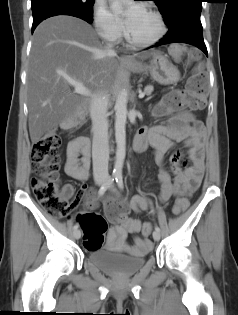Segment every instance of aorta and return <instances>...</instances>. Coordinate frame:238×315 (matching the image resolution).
Returning <instances> with one entry per match:
<instances>
[{
    "instance_id": "aorta-1",
    "label": "aorta",
    "mask_w": 238,
    "mask_h": 315,
    "mask_svg": "<svg viewBox=\"0 0 238 315\" xmlns=\"http://www.w3.org/2000/svg\"><path fill=\"white\" fill-rule=\"evenodd\" d=\"M127 91L121 90L115 103V139L117 143L114 174L122 173L126 155Z\"/></svg>"
}]
</instances>
